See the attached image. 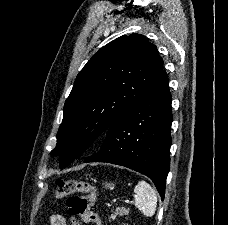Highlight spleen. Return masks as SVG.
<instances>
[{
  "label": "spleen",
  "mask_w": 228,
  "mask_h": 225,
  "mask_svg": "<svg viewBox=\"0 0 228 225\" xmlns=\"http://www.w3.org/2000/svg\"><path fill=\"white\" fill-rule=\"evenodd\" d=\"M135 205L145 217H152L157 207L156 191L146 183V181H139L134 189Z\"/></svg>",
  "instance_id": "1"
}]
</instances>
